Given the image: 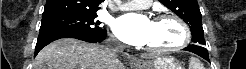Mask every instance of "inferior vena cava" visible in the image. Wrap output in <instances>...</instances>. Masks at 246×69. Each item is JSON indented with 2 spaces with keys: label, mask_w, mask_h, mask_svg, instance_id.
Returning a JSON list of instances; mask_svg holds the SVG:
<instances>
[{
  "label": "inferior vena cava",
  "mask_w": 246,
  "mask_h": 69,
  "mask_svg": "<svg viewBox=\"0 0 246 69\" xmlns=\"http://www.w3.org/2000/svg\"><path fill=\"white\" fill-rule=\"evenodd\" d=\"M107 47H109L112 51H115V52H119L123 49L121 46L115 45L111 41L108 42Z\"/></svg>",
  "instance_id": "1"
}]
</instances>
